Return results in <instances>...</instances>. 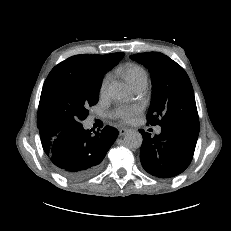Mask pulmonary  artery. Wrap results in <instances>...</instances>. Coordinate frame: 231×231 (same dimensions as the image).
Segmentation results:
<instances>
[{"label": "pulmonary artery", "mask_w": 231, "mask_h": 231, "mask_svg": "<svg viewBox=\"0 0 231 231\" xmlns=\"http://www.w3.org/2000/svg\"><path fill=\"white\" fill-rule=\"evenodd\" d=\"M144 89H145V87L142 86V87H138V88L134 89V91H135L136 93H141ZM155 132H156L157 134H159V133L161 132V127H160V126H157L156 129H155Z\"/></svg>", "instance_id": "1"}]
</instances>
